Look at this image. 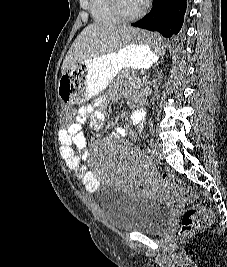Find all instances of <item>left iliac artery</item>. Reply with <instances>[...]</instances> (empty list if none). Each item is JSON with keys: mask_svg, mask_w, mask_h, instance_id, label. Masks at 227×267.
Masks as SVG:
<instances>
[{"mask_svg": "<svg viewBox=\"0 0 227 267\" xmlns=\"http://www.w3.org/2000/svg\"><path fill=\"white\" fill-rule=\"evenodd\" d=\"M149 146H150L151 148H153V146H154V141H153V139H150V140H149Z\"/></svg>", "mask_w": 227, "mask_h": 267, "instance_id": "obj_1", "label": "left iliac artery"}]
</instances>
